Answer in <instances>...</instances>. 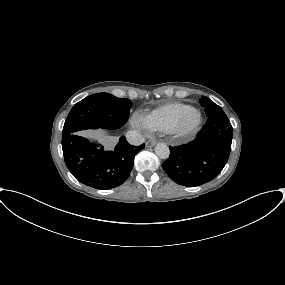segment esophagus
Wrapping results in <instances>:
<instances>
[{
  "label": "esophagus",
  "mask_w": 285,
  "mask_h": 285,
  "mask_svg": "<svg viewBox=\"0 0 285 285\" xmlns=\"http://www.w3.org/2000/svg\"><path fill=\"white\" fill-rule=\"evenodd\" d=\"M156 144V141L154 140H148L146 142V147H153Z\"/></svg>",
  "instance_id": "obj_1"
}]
</instances>
